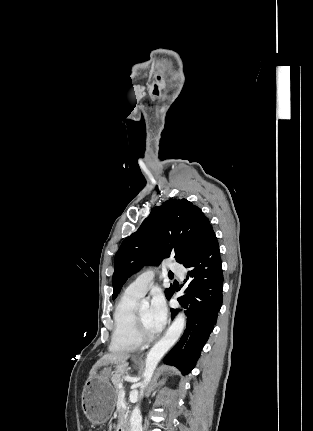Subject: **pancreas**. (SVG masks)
<instances>
[{
	"label": "pancreas",
	"mask_w": 313,
	"mask_h": 431,
	"mask_svg": "<svg viewBox=\"0 0 313 431\" xmlns=\"http://www.w3.org/2000/svg\"><path fill=\"white\" fill-rule=\"evenodd\" d=\"M111 381H112V383L114 385L116 394H118L119 391H120L118 385L120 383H122V381H123V373L121 372V373L112 375ZM120 412H121V416H120V419H119V424H121L126 419V412H125V410L123 408H121Z\"/></svg>",
	"instance_id": "1"
}]
</instances>
